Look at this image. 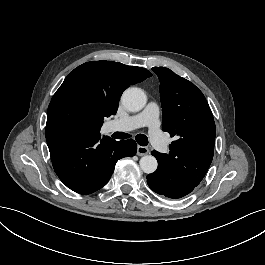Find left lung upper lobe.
<instances>
[{
    "label": "left lung upper lobe",
    "instance_id": "left-lung-upper-lobe-1",
    "mask_svg": "<svg viewBox=\"0 0 265 265\" xmlns=\"http://www.w3.org/2000/svg\"><path fill=\"white\" fill-rule=\"evenodd\" d=\"M152 70L160 80L162 128L171 137L177 136L169 145V154L152 151V155L198 186L214 154L216 127L212 112L203 93L190 81L168 68Z\"/></svg>",
    "mask_w": 265,
    "mask_h": 265
}]
</instances>
